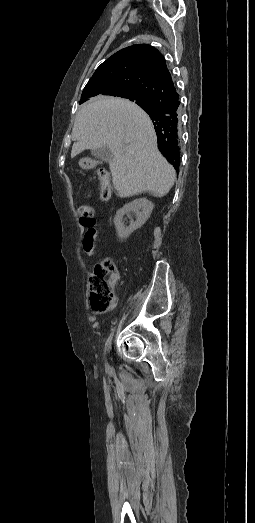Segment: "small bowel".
<instances>
[{"label":"small bowel","mask_w":255,"mask_h":523,"mask_svg":"<svg viewBox=\"0 0 255 523\" xmlns=\"http://www.w3.org/2000/svg\"><path fill=\"white\" fill-rule=\"evenodd\" d=\"M86 226H87V229H86V232L84 234L82 247H83L84 252L88 256H93L94 255V249H95V246H96V241H97V238H98V230H97V228L95 226V221H93L92 224H89V225H86Z\"/></svg>","instance_id":"small-bowel-1"}]
</instances>
